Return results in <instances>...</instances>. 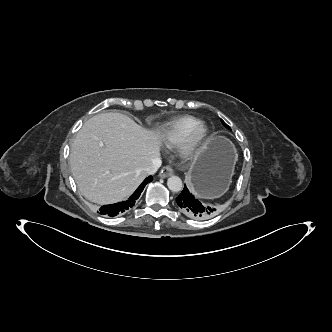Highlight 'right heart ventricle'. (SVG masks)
Returning a JSON list of instances; mask_svg holds the SVG:
<instances>
[{"label": "right heart ventricle", "mask_w": 332, "mask_h": 332, "mask_svg": "<svg viewBox=\"0 0 332 332\" xmlns=\"http://www.w3.org/2000/svg\"><path fill=\"white\" fill-rule=\"evenodd\" d=\"M201 122L194 116H181L165 123L159 136L167 145H176L192 130V128Z\"/></svg>", "instance_id": "1"}]
</instances>
